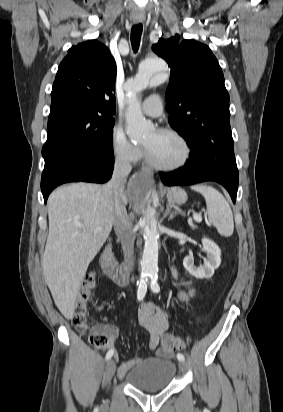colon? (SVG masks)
I'll list each match as a JSON object with an SVG mask.
<instances>
[{
	"label": "colon",
	"mask_w": 283,
	"mask_h": 412,
	"mask_svg": "<svg viewBox=\"0 0 283 412\" xmlns=\"http://www.w3.org/2000/svg\"><path fill=\"white\" fill-rule=\"evenodd\" d=\"M94 285L95 275L89 274L77 293L74 307L70 314L71 322L79 333H85L88 330L89 305L92 301ZM88 339L90 344L96 348H104L108 342L106 333L100 327L93 329ZM183 348V341L177 336L166 335L162 340V351L168 355Z\"/></svg>",
	"instance_id": "obj_1"
}]
</instances>
